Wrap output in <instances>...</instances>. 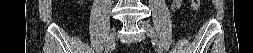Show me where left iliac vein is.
Returning a JSON list of instances; mask_svg holds the SVG:
<instances>
[{
    "label": "left iliac vein",
    "instance_id": "obj_1",
    "mask_svg": "<svg viewBox=\"0 0 253 53\" xmlns=\"http://www.w3.org/2000/svg\"><path fill=\"white\" fill-rule=\"evenodd\" d=\"M139 25L148 31V33H149V35H150L153 43L155 41H158L154 29L149 25L148 22H146V21H140Z\"/></svg>",
    "mask_w": 253,
    "mask_h": 53
}]
</instances>
